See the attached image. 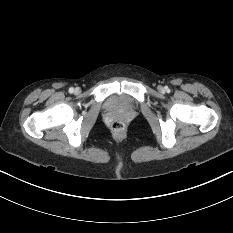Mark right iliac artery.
Segmentation results:
<instances>
[{
	"mask_svg": "<svg viewBox=\"0 0 233 233\" xmlns=\"http://www.w3.org/2000/svg\"><path fill=\"white\" fill-rule=\"evenodd\" d=\"M74 92V88L73 87H70L69 88V93H73Z\"/></svg>",
	"mask_w": 233,
	"mask_h": 233,
	"instance_id": "1",
	"label": "right iliac artery"
}]
</instances>
